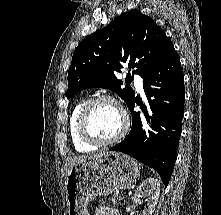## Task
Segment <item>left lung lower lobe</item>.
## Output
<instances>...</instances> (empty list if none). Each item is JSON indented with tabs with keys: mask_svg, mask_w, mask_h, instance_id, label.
Wrapping results in <instances>:
<instances>
[{
	"mask_svg": "<svg viewBox=\"0 0 221 215\" xmlns=\"http://www.w3.org/2000/svg\"><path fill=\"white\" fill-rule=\"evenodd\" d=\"M181 63L171 43L155 66L143 77L147 106L137 98L128 106L131 131L118 145L120 151L154 168L167 186L173 172L182 131L184 84ZM135 103L142 113L135 112Z\"/></svg>",
	"mask_w": 221,
	"mask_h": 215,
	"instance_id": "left-lung-lower-lobe-1",
	"label": "left lung lower lobe"
}]
</instances>
